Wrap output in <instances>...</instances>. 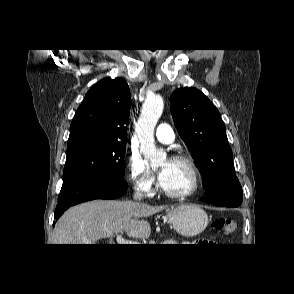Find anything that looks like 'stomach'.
<instances>
[{
	"label": "stomach",
	"mask_w": 294,
	"mask_h": 294,
	"mask_svg": "<svg viewBox=\"0 0 294 294\" xmlns=\"http://www.w3.org/2000/svg\"><path fill=\"white\" fill-rule=\"evenodd\" d=\"M167 217L173 228L185 237H193L205 230L208 224L206 212L194 204H183L168 210Z\"/></svg>",
	"instance_id": "stomach-1"
}]
</instances>
